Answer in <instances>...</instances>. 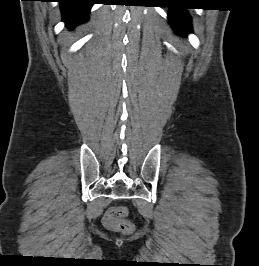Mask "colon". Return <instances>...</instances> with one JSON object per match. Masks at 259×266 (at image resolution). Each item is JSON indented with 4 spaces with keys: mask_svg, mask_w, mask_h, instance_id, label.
<instances>
[{
    "mask_svg": "<svg viewBox=\"0 0 259 266\" xmlns=\"http://www.w3.org/2000/svg\"><path fill=\"white\" fill-rule=\"evenodd\" d=\"M128 209L124 206L111 208L104 217V224L111 230L122 234H130L134 231V225L127 220Z\"/></svg>",
    "mask_w": 259,
    "mask_h": 266,
    "instance_id": "5ec220e1",
    "label": "colon"
}]
</instances>
